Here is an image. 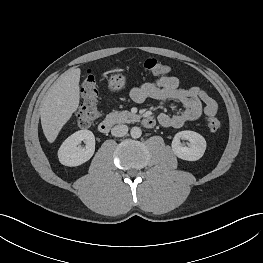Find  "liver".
Here are the masks:
<instances>
[{
  "mask_svg": "<svg viewBox=\"0 0 263 263\" xmlns=\"http://www.w3.org/2000/svg\"><path fill=\"white\" fill-rule=\"evenodd\" d=\"M80 74L79 68L67 70L49 88L41 102V125L49 143L56 140L62 127L78 109Z\"/></svg>",
  "mask_w": 263,
  "mask_h": 263,
  "instance_id": "6515ba94",
  "label": "liver"
}]
</instances>
